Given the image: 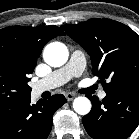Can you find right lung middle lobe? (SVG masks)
<instances>
[{"label":"right lung middle lobe","instance_id":"right-lung-middle-lobe-1","mask_svg":"<svg viewBox=\"0 0 139 139\" xmlns=\"http://www.w3.org/2000/svg\"><path fill=\"white\" fill-rule=\"evenodd\" d=\"M29 74L18 60L0 54V104L30 97Z\"/></svg>","mask_w":139,"mask_h":139}]
</instances>
